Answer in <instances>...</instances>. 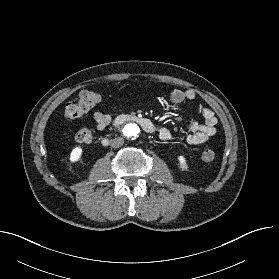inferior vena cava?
Instances as JSON below:
<instances>
[{"label":"inferior vena cava","mask_w":279,"mask_h":279,"mask_svg":"<svg viewBox=\"0 0 279 279\" xmlns=\"http://www.w3.org/2000/svg\"><path fill=\"white\" fill-rule=\"evenodd\" d=\"M124 144V139L122 137H117L112 140L111 145L114 148H118Z\"/></svg>","instance_id":"inferior-vena-cava-1"}]
</instances>
